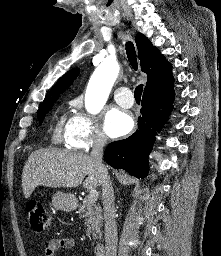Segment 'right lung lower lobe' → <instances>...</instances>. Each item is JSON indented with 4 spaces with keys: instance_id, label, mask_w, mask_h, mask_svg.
I'll use <instances>...</instances> for the list:
<instances>
[{
    "instance_id": "98d812e1",
    "label": "right lung lower lobe",
    "mask_w": 221,
    "mask_h": 256,
    "mask_svg": "<svg viewBox=\"0 0 221 256\" xmlns=\"http://www.w3.org/2000/svg\"><path fill=\"white\" fill-rule=\"evenodd\" d=\"M173 100V87L161 92L144 93L137 131L127 139L110 143L104 152L106 162L137 178L146 176L148 154L156 132L162 129L169 118Z\"/></svg>"
}]
</instances>
